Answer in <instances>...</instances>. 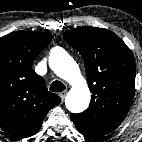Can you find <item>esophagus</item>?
Here are the masks:
<instances>
[{"instance_id":"esophagus-1","label":"esophagus","mask_w":142,"mask_h":142,"mask_svg":"<svg viewBox=\"0 0 142 142\" xmlns=\"http://www.w3.org/2000/svg\"><path fill=\"white\" fill-rule=\"evenodd\" d=\"M66 91H63V92H61L60 94H59V96H60V98H61V100L63 101L64 100V98H65V96H66Z\"/></svg>"}]
</instances>
